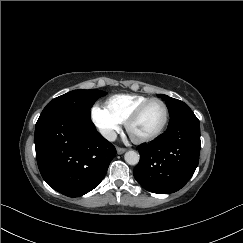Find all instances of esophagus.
I'll return each mask as SVG.
<instances>
[{
    "label": "esophagus",
    "instance_id": "obj_1",
    "mask_svg": "<svg viewBox=\"0 0 243 243\" xmlns=\"http://www.w3.org/2000/svg\"><path fill=\"white\" fill-rule=\"evenodd\" d=\"M116 150H117V154H123L127 151L126 148H120V147H118Z\"/></svg>",
    "mask_w": 243,
    "mask_h": 243
}]
</instances>
